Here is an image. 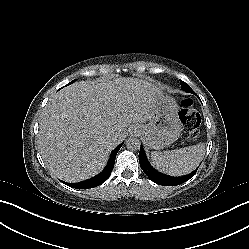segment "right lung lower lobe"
Wrapping results in <instances>:
<instances>
[{
    "instance_id": "1",
    "label": "right lung lower lobe",
    "mask_w": 249,
    "mask_h": 249,
    "mask_svg": "<svg viewBox=\"0 0 249 249\" xmlns=\"http://www.w3.org/2000/svg\"><path fill=\"white\" fill-rule=\"evenodd\" d=\"M122 144H120L115 150H113L106 167L100 174H98L97 176L91 179L85 180L81 183L72 184V187L78 188V189H88V188H94L104 183L109 178L114 168L115 157H116L117 152L120 150Z\"/></svg>"
}]
</instances>
